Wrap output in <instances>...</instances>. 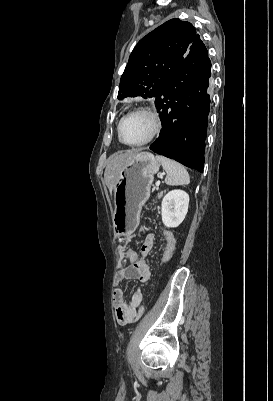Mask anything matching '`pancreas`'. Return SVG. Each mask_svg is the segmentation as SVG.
<instances>
[{"label": "pancreas", "instance_id": "obj_1", "mask_svg": "<svg viewBox=\"0 0 273 401\" xmlns=\"http://www.w3.org/2000/svg\"><path fill=\"white\" fill-rule=\"evenodd\" d=\"M161 194H162V192H158V194H157L158 198H160Z\"/></svg>", "mask_w": 273, "mask_h": 401}]
</instances>
